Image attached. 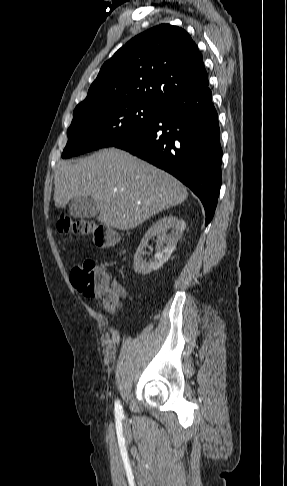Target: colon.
<instances>
[{"instance_id":"1","label":"colon","mask_w":287,"mask_h":486,"mask_svg":"<svg viewBox=\"0 0 287 486\" xmlns=\"http://www.w3.org/2000/svg\"><path fill=\"white\" fill-rule=\"evenodd\" d=\"M58 229L62 232H72L78 235H88L99 247H112L118 241V236L112 229L91 220H71L61 217ZM73 286L86 297L96 299L107 305L118 302V296L111 287L108 274L94 260H85L75 266L70 275Z\"/></svg>"}]
</instances>
